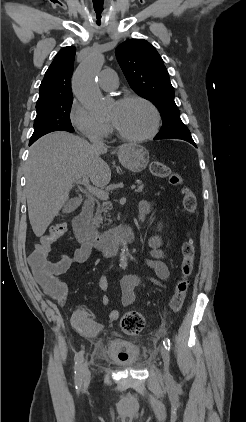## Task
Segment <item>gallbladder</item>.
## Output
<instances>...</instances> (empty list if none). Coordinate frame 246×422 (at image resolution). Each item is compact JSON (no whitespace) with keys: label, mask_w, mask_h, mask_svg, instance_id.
I'll return each mask as SVG.
<instances>
[{"label":"gallbladder","mask_w":246,"mask_h":422,"mask_svg":"<svg viewBox=\"0 0 246 422\" xmlns=\"http://www.w3.org/2000/svg\"><path fill=\"white\" fill-rule=\"evenodd\" d=\"M81 202L82 200L80 198H72L68 200L62 208L63 213L73 212L81 205Z\"/></svg>","instance_id":"gallbladder-1"}]
</instances>
